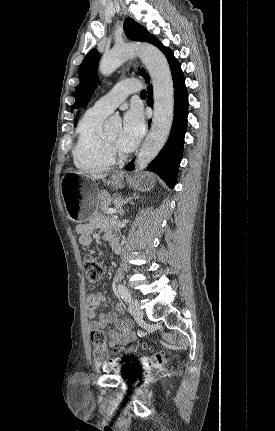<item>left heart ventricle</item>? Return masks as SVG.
<instances>
[{
    "instance_id": "b2bd125f",
    "label": "left heart ventricle",
    "mask_w": 275,
    "mask_h": 431,
    "mask_svg": "<svg viewBox=\"0 0 275 431\" xmlns=\"http://www.w3.org/2000/svg\"><path fill=\"white\" fill-rule=\"evenodd\" d=\"M120 133H121V130L118 128V129H116L115 131H113L112 133H110V134L106 135V138H107L111 143H113V144H114V145H115L119 150H121V149L118 147L117 142H118V139H119Z\"/></svg>"
}]
</instances>
